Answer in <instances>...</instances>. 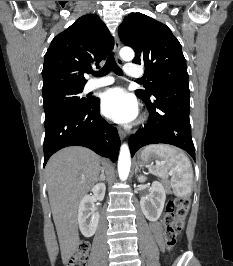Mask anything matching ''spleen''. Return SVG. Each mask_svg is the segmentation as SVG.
<instances>
[{"mask_svg":"<svg viewBox=\"0 0 233 266\" xmlns=\"http://www.w3.org/2000/svg\"><path fill=\"white\" fill-rule=\"evenodd\" d=\"M143 154L154 153L161 162L151 167V172L168 179L176 196L186 197L192 192L193 169L189 158L181 150L164 144L149 145L142 151Z\"/></svg>","mask_w":233,"mask_h":266,"instance_id":"1","label":"spleen"}]
</instances>
